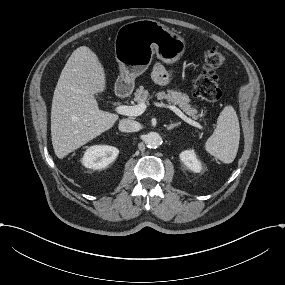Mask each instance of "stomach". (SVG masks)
<instances>
[{
	"mask_svg": "<svg viewBox=\"0 0 285 285\" xmlns=\"http://www.w3.org/2000/svg\"><path fill=\"white\" fill-rule=\"evenodd\" d=\"M114 49L120 70L117 83H134L149 67L154 53L167 64L175 63L184 54L185 42L160 22L141 19L118 29Z\"/></svg>",
	"mask_w": 285,
	"mask_h": 285,
	"instance_id": "obj_1",
	"label": "stomach"
}]
</instances>
